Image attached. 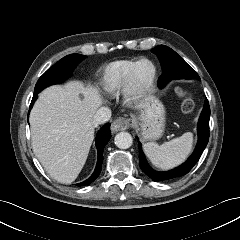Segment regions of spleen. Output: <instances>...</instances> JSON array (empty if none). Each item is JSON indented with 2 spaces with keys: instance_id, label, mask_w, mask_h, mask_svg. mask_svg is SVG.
<instances>
[{
  "instance_id": "spleen-1",
  "label": "spleen",
  "mask_w": 240,
  "mask_h": 240,
  "mask_svg": "<svg viewBox=\"0 0 240 240\" xmlns=\"http://www.w3.org/2000/svg\"><path fill=\"white\" fill-rule=\"evenodd\" d=\"M193 146V134L186 132L182 136L161 145L148 142L144 151L151 163L160 169H170L181 164L190 154Z\"/></svg>"
}]
</instances>
